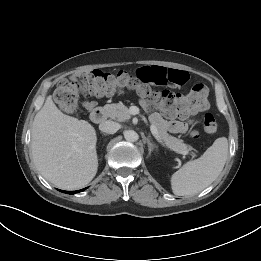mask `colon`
<instances>
[{"label": "colon", "instance_id": "colon-1", "mask_svg": "<svg viewBox=\"0 0 261 261\" xmlns=\"http://www.w3.org/2000/svg\"><path fill=\"white\" fill-rule=\"evenodd\" d=\"M126 89L136 90L156 103L167 117L185 116L208 107V89L202 83L193 85L186 94L170 90L156 92L151 90L139 75L134 77L125 71L110 73L92 70L77 73L59 82L54 99L62 111L72 114L78 108L79 93L88 97H104ZM203 125L205 131L210 134L218 129L217 120L210 113L204 115ZM193 136L196 137L197 133L193 132Z\"/></svg>", "mask_w": 261, "mask_h": 261}]
</instances>
